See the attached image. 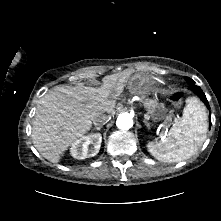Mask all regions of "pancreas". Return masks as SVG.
Listing matches in <instances>:
<instances>
[{
    "label": "pancreas",
    "instance_id": "cf45deb5",
    "mask_svg": "<svg viewBox=\"0 0 221 221\" xmlns=\"http://www.w3.org/2000/svg\"><path fill=\"white\" fill-rule=\"evenodd\" d=\"M143 104L149 114L155 115L157 111H164V104L158 103L157 101L144 99ZM170 118L171 115L168 117V119Z\"/></svg>",
    "mask_w": 221,
    "mask_h": 221
}]
</instances>
